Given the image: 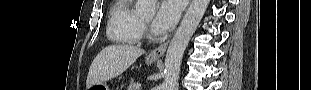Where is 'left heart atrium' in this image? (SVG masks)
I'll list each match as a JSON object with an SVG mask.
<instances>
[{
	"mask_svg": "<svg viewBox=\"0 0 311 90\" xmlns=\"http://www.w3.org/2000/svg\"><path fill=\"white\" fill-rule=\"evenodd\" d=\"M182 11L180 0H165L159 5L152 21V28L157 33H165L171 30L179 20Z\"/></svg>",
	"mask_w": 311,
	"mask_h": 90,
	"instance_id": "left-heart-atrium-1",
	"label": "left heart atrium"
}]
</instances>
